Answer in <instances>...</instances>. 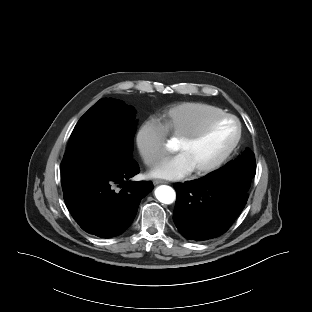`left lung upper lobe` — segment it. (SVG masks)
Masks as SVG:
<instances>
[{"label":"left lung upper lobe","mask_w":312,"mask_h":312,"mask_svg":"<svg viewBox=\"0 0 312 312\" xmlns=\"http://www.w3.org/2000/svg\"><path fill=\"white\" fill-rule=\"evenodd\" d=\"M256 173L255 155L248 148L234 161L227 163L216 172L210 173L211 176H225L231 179L238 186L248 192L251 180Z\"/></svg>","instance_id":"left-lung-upper-lobe-1"}]
</instances>
